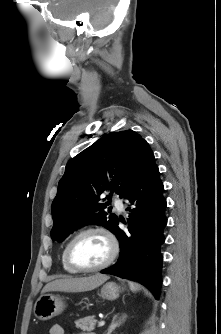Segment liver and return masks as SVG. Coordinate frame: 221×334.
<instances>
[{
    "label": "liver",
    "mask_w": 221,
    "mask_h": 334,
    "mask_svg": "<svg viewBox=\"0 0 221 334\" xmlns=\"http://www.w3.org/2000/svg\"><path fill=\"white\" fill-rule=\"evenodd\" d=\"M109 277L103 274H95L88 277L65 278L52 281L45 285L42 294L49 291L82 292L97 288Z\"/></svg>",
    "instance_id": "6515ba94"
}]
</instances>
